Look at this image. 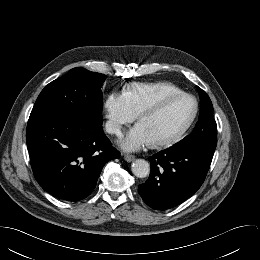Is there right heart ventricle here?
Listing matches in <instances>:
<instances>
[{"label":"right heart ventricle","mask_w":260,"mask_h":260,"mask_svg":"<svg viewBox=\"0 0 260 260\" xmlns=\"http://www.w3.org/2000/svg\"><path fill=\"white\" fill-rule=\"evenodd\" d=\"M181 91L177 86L169 82L133 83L123 91V95L135 115L150 106L161 96Z\"/></svg>","instance_id":"e07e8e85"}]
</instances>
